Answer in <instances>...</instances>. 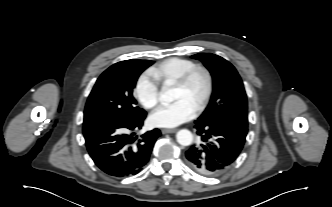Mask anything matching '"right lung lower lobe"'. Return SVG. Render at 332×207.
<instances>
[{"mask_svg":"<svg viewBox=\"0 0 332 207\" xmlns=\"http://www.w3.org/2000/svg\"><path fill=\"white\" fill-rule=\"evenodd\" d=\"M146 113L130 122H97L83 127L88 152L95 164L114 177L139 173L147 164L160 130L154 129L133 137L141 129Z\"/></svg>","mask_w":332,"mask_h":207,"instance_id":"right-lung-lower-lobe-1","label":"right lung lower lobe"}]
</instances>
